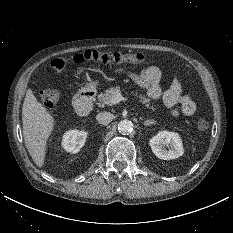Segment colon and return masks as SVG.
Segmentation results:
<instances>
[{
	"label": "colon",
	"instance_id": "5ec220e1",
	"mask_svg": "<svg viewBox=\"0 0 233 233\" xmlns=\"http://www.w3.org/2000/svg\"><path fill=\"white\" fill-rule=\"evenodd\" d=\"M145 55L141 52L122 54L119 52H100L97 50H86L77 53L70 57H59L51 61V67L56 70H62L71 64H81L84 62L97 63H139L144 61ZM42 104L47 108H52L56 105L59 99V92L56 88H46L40 95ZM209 127L208 121L200 118L197 121V128L201 132L207 131Z\"/></svg>",
	"mask_w": 233,
	"mask_h": 233
}]
</instances>
